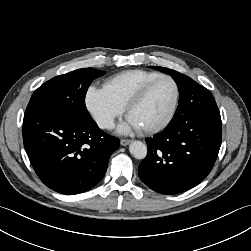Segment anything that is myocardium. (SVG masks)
<instances>
[{"label": "myocardium", "mask_w": 251, "mask_h": 251, "mask_svg": "<svg viewBox=\"0 0 251 251\" xmlns=\"http://www.w3.org/2000/svg\"><path fill=\"white\" fill-rule=\"evenodd\" d=\"M163 79H167V80L171 81L174 86L175 95H174L173 104H172V107H171L168 115L166 116V118L162 122L157 124L156 126L144 129L143 132L145 134L158 133V132L164 130L173 120V118L176 114V111L178 109L179 100H180V87H179V84L176 81V79L168 74H160L159 76L149 80L143 86L140 87V89L132 96V98L128 101V103L125 107V111L128 116L130 111L145 98V96L147 95L150 88L154 84H156L158 81L163 80Z\"/></svg>", "instance_id": "myocardium-1"}]
</instances>
